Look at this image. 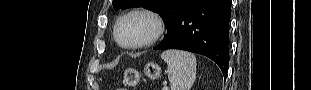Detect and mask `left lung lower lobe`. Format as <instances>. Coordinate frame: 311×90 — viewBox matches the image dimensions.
<instances>
[{
    "label": "left lung lower lobe",
    "instance_id": "left-lung-lower-lobe-1",
    "mask_svg": "<svg viewBox=\"0 0 311 90\" xmlns=\"http://www.w3.org/2000/svg\"><path fill=\"white\" fill-rule=\"evenodd\" d=\"M230 0H196L176 19L153 49H181L212 59L226 78L229 65Z\"/></svg>",
    "mask_w": 311,
    "mask_h": 90
}]
</instances>
